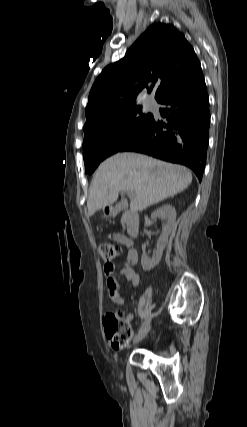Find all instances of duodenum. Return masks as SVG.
<instances>
[{"label": "duodenum", "instance_id": "1", "mask_svg": "<svg viewBox=\"0 0 247 427\" xmlns=\"http://www.w3.org/2000/svg\"><path fill=\"white\" fill-rule=\"evenodd\" d=\"M112 213L115 212L112 210ZM123 217L126 223L127 233L130 238H134L138 235L139 232V225H140V219L139 215L136 211L133 210H126L123 213Z\"/></svg>", "mask_w": 247, "mask_h": 427}]
</instances>
